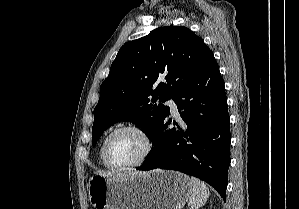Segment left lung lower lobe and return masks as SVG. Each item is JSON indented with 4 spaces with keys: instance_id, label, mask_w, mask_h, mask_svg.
Returning <instances> with one entry per match:
<instances>
[{
    "instance_id": "left-lung-lower-lobe-1",
    "label": "left lung lower lobe",
    "mask_w": 299,
    "mask_h": 209,
    "mask_svg": "<svg viewBox=\"0 0 299 209\" xmlns=\"http://www.w3.org/2000/svg\"><path fill=\"white\" fill-rule=\"evenodd\" d=\"M181 125L169 129L171 119L161 123L151 140L154 149L138 170H177L214 187L226 200L231 162L230 117L224 82L213 57L172 97ZM175 124V123H174Z\"/></svg>"
}]
</instances>
